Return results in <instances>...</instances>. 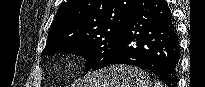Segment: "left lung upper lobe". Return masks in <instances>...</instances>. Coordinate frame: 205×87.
I'll return each mask as SVG.
<instances>
[{"instance_id": "left-lung-upper-lobe-1", "label": "left lung upper lobe", "mask_w": 205, "mask_h": 87, "mask_svg": "<svg viewBox=\"0 0 205 87\" xmlns=\"http://www.w3.org/2000/svg\"><path fill=\"white\" fill-rule=\"evenodd\" d=\"M137 0H66L59 7L43 55L72 53L96 70L115 55Z\"/></svg>"}]
</instances>
